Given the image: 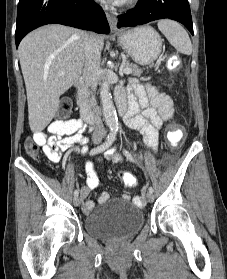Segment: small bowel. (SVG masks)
<instances>
[{
  "mask_svg": "<svg viewBox=\"0 0 227 279\" xmlns=\"http://www.w3.org/2000/svg\"><path fill=\"white\" fill-rule=\"evenodd\" d=\"M117 101H128V111L124 117L126 125L144 137V141L153 150L156 149L159 130L164 122L171 119L174 113V101L166 93L160 92L152 85H143L137 80L130 81L127 92L118 89L116 92ZM62 122L53 121L48 127V133L37 132L33 136V141L42 146L43 153L52 163H58L62 158V153L77 151L78 145H83L82 153H87L88 138L81 134L84 124L79 119H69L67 128L60 125ZM105 158L114 163L123 160L120 153L113 150L105 152ZM87 174L86 184L81 188V197L85 200L83 211L91 213L95 207V202L88 199L91 191L100 185L95 164L88 160L85 162ZM109 200V195L102 192L97 202L104 204Z\"/></svg>",
  "mask_w": 227,
  "mask_h": 279,
  "instance_id": "1",
  "label": "small bowel"
}]
</instances>
